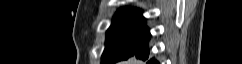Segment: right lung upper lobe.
<instances>
[{"instance_id": "right-lung-upper-lobe-1", "label": "right lung upper lobe", "mask_w": 242, "mask_h": 64, "mask_svg": "<svg viewBox=\"0 0 242 64\" xmlns=\"http://www.w3.org/2000/svg\"><path fill=\"white\" fill-rule=\"evenodd\" d=\"M133 13H141V10L136 8H121L116 15L118 14H133Z\"/></svg>"}]
</instances>
